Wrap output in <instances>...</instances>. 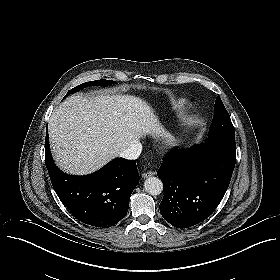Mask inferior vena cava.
<instances>
[{"instance_id": "obj_1", "label": "inferior vena cava", "mask_w": 280, "mask_h": 280, "mask_svg": "<svg viewBox=\"0 0 280 280\" xmlns=\"http://www.w3.org/2000/svg\"><path fill=\"white\" fill-rule=\"evenodd\" d=\"M142 151V144L137 140L133 141L127 148L120 152V156L125 159H137Z\"/></svg>"}]
</instances>
